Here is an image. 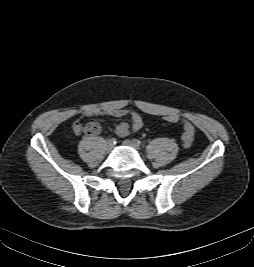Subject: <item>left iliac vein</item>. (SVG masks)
<instances>
[{
    "label": "left iliac vein",
    "mask_w": 254,
    "mask_h": 267,
    "mask_svg": "<svg viewBox=\"0 0 254 267\" xmlns=\"http://www.w3.org/2000/svg\"><path fill=\"white\" fill-rule=\"evenodd\" d=\"M123 144H124L125 146L131 147V148H136V145H135L134 142L131 141V140H124V141H123Z\"/></svg>",
    "instance_id": "obj_1"
}]
</instances>
